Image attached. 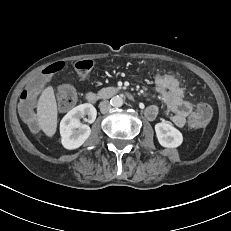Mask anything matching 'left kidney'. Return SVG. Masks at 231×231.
<instances>
[{"label":"left kidney","instance_id":"1","mask_svg":"<svg viewBox=\"0 0 231 231\" xmlns=\"http://www.w3.org/2000/svg\"><path fill=\"white\" fill-rule=\"evenodd\" d=\"M155 132L158 142L166 148H176L182 144V133L166 122H160L155 125Z\"/></svg>","mask_w":231,"mask_h":231}]
</instances>
